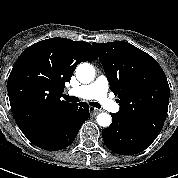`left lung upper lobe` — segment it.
I'll use <instances>...</instances> for the list:
<instances>
[{
    "label": "left lung upper lobe",
    "instance_id": "5c2ea615",
    "mask_svg": "<svg viewBox=\"0 0 178 178\" xmlns=\"http://www.w3.org/2000/svg\"><path fill=\"white\" fill-rule=\"evenodd\" d=\"M110 89L118 96L120 110L114 113L128 123L159 135L170 96L166 75L146 52L124 42L93 43Z\"/></svg>",
    "mask_w": 178,
    "mask_h": 178
}]
</instances>
